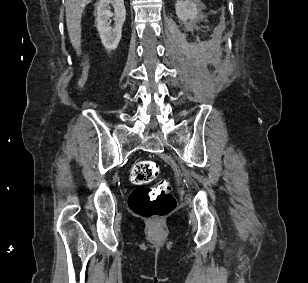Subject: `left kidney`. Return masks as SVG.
I'll return each instance as SVG.
<instances>
[{"mask_svg":"<svg viewBox=\"0 0 308 283\" xmlns=\"http://www.w3.org/2000/svg\"><path fill=\"white\" fill-rule=\"evenodd\" d=\"M202 6L199 0H178L175 4L176 15L184 23L195 20Z\"/></svg>","mask_w":308,"mask_h":283,"instance_id":"left-kidney-1","label":"left kidney"}]
</instances>
